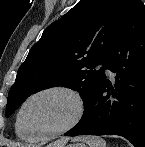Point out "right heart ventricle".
<instances>
[{
  "label": "right heart ventricle",
  "mask_w": 145,
  "mask_h": 147,
  "mask_svg": "<svg viewBox=\"0 0 145 147\" xmlns=\"http://www.w3.org/2000/svg\"><path fill=\"white\" fill-rule=\"evenodd\" d=\"M16 133H17L18 137L21 138L22 140L32 141L22 131H19L18 129H16Z\"/></svg>",
  "instance_id": "e07e8e85"
}]
</instances>
